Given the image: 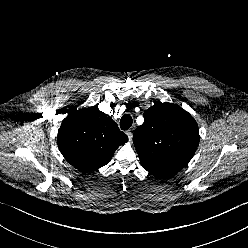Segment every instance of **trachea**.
Segmentation results:
<instances>
[{"label":"trachea","instance_id":"3493384b","mask_svg":"<svg viewBox=\"0 0 248 248\" xmlns=\"http://www.w3.org/2000/svg\"><path fill=\"white\" fill-rule=\"evenodd\" d=\"M132 117L129 114H125L120 120V128L122 130H128L132 125Z\"/></svg>","mask_w":248,"mask_h":248}]
</instances>
